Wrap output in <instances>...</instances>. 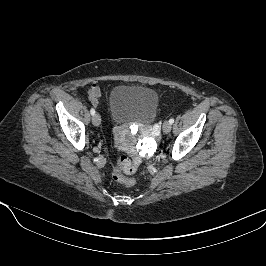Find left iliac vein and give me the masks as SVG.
<instances>
[{
	"label": "left iliac vein",
	"instance_id": "4c4485c4",
	"mask_svg": "<svg viewBox=\"0 0 266 266\" xmlns=\"http://www.w3.org/2000/svg\"><path fill=\"white\" fill-rule=\"evenodd\" d=\"M171 124L168 121L163 123L162 129L164 133H169L171 131Z\"/></svg>",
	"mask_w": 266,
	"mask_h": 266
}]
</instances>
